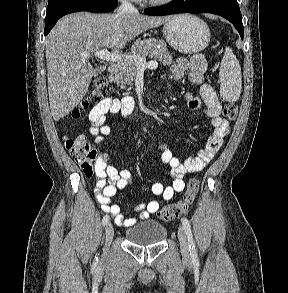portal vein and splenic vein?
<instances>
[{
    "label": "portal vein and splenic vein",
    "instance_id": "1",
    "mask_svg": "<svg viewBox=\"0 0 288 293\" xmlns=\"http://www.w3.org/2000/svg\"><path fill=\"white\" fill-rule=\"evenodd\" d=\"M95 57H98L99 59H102L104 61L108 62H117L121 61L123 59V56L119 53H111L107 49H102L99 51H96L94 53ZM82 57L86 58L88 57V53H83ZM133 60L139 69H146V68H157L158 63L156 61H149L146 62V59L144 57H141L139 55L133 56Z\"/></svg>",
    "mask_w": 288,
    "mask_h": 293
}]
</instances>
